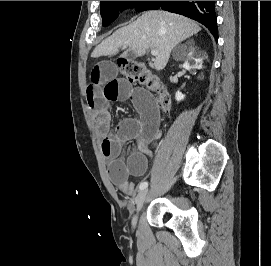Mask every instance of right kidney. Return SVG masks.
Masks as SVG:
<instances>
[{"mask_svg": "<svg viewBox=\"0 0 271 266\" xmlns=\"http://www.w3.org/2000/svg\"><path fill=\"white\" fill-rule=\"evenodd\" d=\"M185 56V66L189 69H201L202 68V58L196 56L194 54V48L192 46H190L189 48H187L185 50L184 53ZM185 97L184 94H182L181 92H177L176 93V100L179 102L181 100H183Z\"/></svg>", "mask_w": 271, "mask_h": 266, "instance_id": "ca27d5eb", "label": "right kidney"}]
</instances>
